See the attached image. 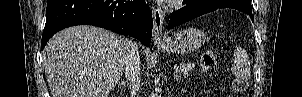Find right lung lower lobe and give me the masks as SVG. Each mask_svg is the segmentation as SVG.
Returning a JSON list of instances; mask_svg holds the SVG:
<instances>
[{"mask_svg":"<svg viewBox=\"0 0 302 97\" xmlns=\"http://www.w3.org/2000/svg\"><path fill=\"white\" fill-rule=\"evenodd\" d=\"M41 50L58 31L74 25H94L129 35L148 46L152 14L144 0H48Z\"/></svg>","mask_w":302,"mask_h":97,"instance_id":"1","label":"right lung lower lobe"}]
</instances>
